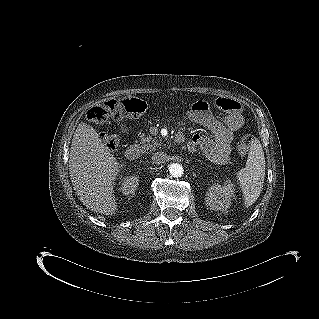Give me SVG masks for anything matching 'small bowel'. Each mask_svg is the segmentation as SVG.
Wrapping results in <instances>:
<instances>
[{"label":"small bowel","mask_w":319,"mask_h":319,"mask_svg":"<svg viewBox=\"0 0 319 319\" xmlns=\"http://www.w3.org/2000/svg\"><path fill=\"white\" fill-rule=\"evenodd\" d=\"M243 124L244 120L238 113L228 114L223 122L211 117L205 125L212 133V137L194 134L189 140L188 147L191 150L200 147L215 162H225L232 151L233 132L241 129Z\"/></svg>","instance_id":"small-bowel-1"}]
</instances>
